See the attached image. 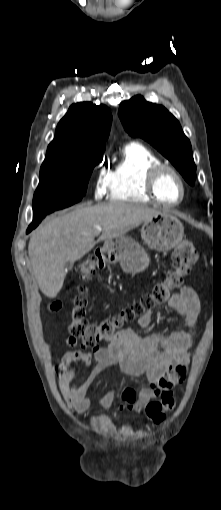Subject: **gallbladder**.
Returning a JSON list of instances; mask_svg holds the SVG:
<instances>
[{"mask_svg":"<svg viewBox=\"0 0 221 510\" xmlns=\"http://www.w3.org/2000/svg\"><path fill=\"white\" fill-rule=\"evenodd\" d=\"M65 268L70 269V264H65Z\"/></svg>","mask_w":221,"mask_h":510,"instance_id":"1","label":"gallbladder"}]
</instances>
